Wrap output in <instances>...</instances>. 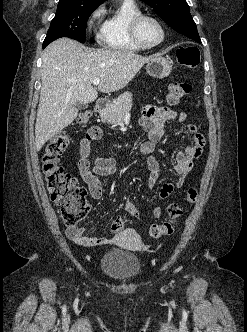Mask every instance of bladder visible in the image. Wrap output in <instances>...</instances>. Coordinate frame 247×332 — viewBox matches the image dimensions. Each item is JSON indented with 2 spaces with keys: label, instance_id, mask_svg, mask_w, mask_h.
Segmentation results:
<instances>
[{
  "label": "bladder",
  "instance_id": "1",
  "mask_svg": "<svg viewBox=\"0 0 247 332\" xmlns=\"http://www.w3.org/2000/svg\"><path fill=\"white\" fill-rule=\"evenodd\" d=\"M100 268L113 281L130 282L140 273L141 261L131 252L112 249L101 257Z\"/></svg>",
  "mask_w": 247,
  "mask_h": 332
}]
</instances>
